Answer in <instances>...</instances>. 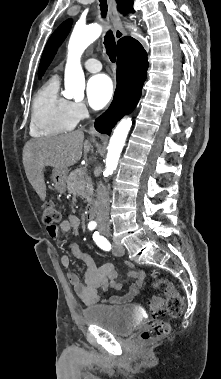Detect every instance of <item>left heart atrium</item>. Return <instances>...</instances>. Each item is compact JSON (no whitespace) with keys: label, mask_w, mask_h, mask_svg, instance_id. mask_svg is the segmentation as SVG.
Wrapping results in <instances>:
<instances>
[{"label":"left heart atrium","mask_w":221,"mask_h":379,"mask_svg":"<svg viewBox=\"0 0 221 379\" xmlns=\"http://www.w3.org/2000/svg\"><path fill=\"white\" fill-rule=\"evenodd\" d=\"M87 100L89 105L99 110L105 107L113 97L114 84L105 74L95 75L87 83Z\"/></svg>","instance_id":"39dd6f15"}]
</instances>
